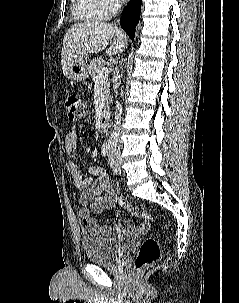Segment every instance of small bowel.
Segmentation results:
<instances>
[{
    "instance_id": "small-bowel-1",
    "label": "small bowel",
    "mask_w": 239,
    "mask_h": 303,
    "mask_svg": "<svg viewBox=\"0 0 239 303\" xmlns=\"http://www.w3.org/2000/svg\"><path fill=\"white\" fill-rule=\"evenodd\" d=\"M65 149L69 154L75 153L79 144V136L76 128H72L65 137ZM69 172L74 182L75 187L82 192L80 196V204L82 209L79 215L82 222L90 235H104L109 236L111 234H122L132 232L136 229L132 222H127L124 227L116 225L114 227L104 225L100 226L96 218L91 216L92 212L99 214L104 209L113 207L112 196L117 191V185L109 179L105 170L96 165L89 166L87 172L92 177H83L82 171L75 161H69ZM93 177H97L94 179ZM103 193H106L105 197H101ZM145 229V226H142Z\"/></svg>"
}]
</instances>
